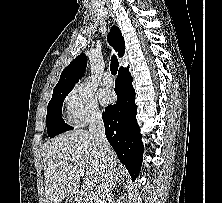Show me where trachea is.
<instances>
[{
  "instance_id": "trachea-1",
  "label": "trachea",
  "mask_w": 222,
  "mask_h": 203,
  "mask_svg": "<svg viewBox=\"0 0 222 203\" xmlns=\"http://www.w3.org/2000/svg\"><path fill=\"white\" fill-rule=\"evenodd\" d=\"M119 62L115 55L111 57L110 71L112 75H116L118 70Z\"/></svg>"
}]
</instances>
